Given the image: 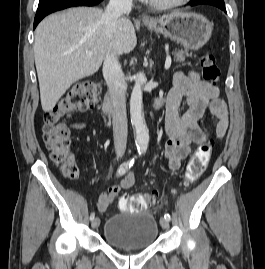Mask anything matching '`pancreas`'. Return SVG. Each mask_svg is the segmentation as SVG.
Segmentation results:
<instances>
[{"mask_svg": "<svg viewBox=\"0 0 265 269\" xmlns=\"http://www.w3.org/2000/svg\"><path fill=\"white\" fill-rule=\"evenodd\" d=\"M189 56H192V54H190L187 49H184V50L181 49L174 52V60L176 62L177 61L184 62L186 57H189Z\"/></svg>", "mask_w": 265, "mask_h": 269, "instance_id": "pancreas-1", "label": "pancreas"}]
</instances>
